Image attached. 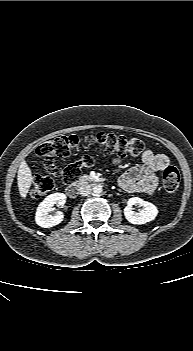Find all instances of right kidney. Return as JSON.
I'll return each instance as SVG.
<instances>
[{
	"label": "right kidney",
	"instance_id": "obj_1",
	"mask_svg": "<svg viewBox=\"0 0 193 351\" xmlns=\"http://www.w3.org/2000/svg\"><path fill=\"white\" fill-rule=\"evenodd\" d=\"M66 202V195L64 193H54L48 195L37 207L35 221L36 224L43 228H50L58 225L63 221L64 215L58 212L52 216L49 213L53 210V206H63Z\"/></svg>",
	"mask_w": 193,
	"mask_h": 351
}]
</instances>
